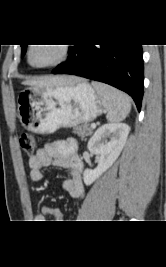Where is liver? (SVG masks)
<instances>
[{
	"label": "liver",
	"instance_id": "1",
	"mask_svg": "<svg viewBox=\"0 0 166 267\" xmlns=\"http://www.w3.org/2000/svg\"><path fill=\"white\" fill-rule=\"evenodd\" d=\"M78 81L81 80L71 76H54V77H45L39 80H27L24 81L23 84L29 86H38V87H53V86L73 85Z\"/></svg>",
	"mask_w": 166,
	"mask_h": 267
}]
</instances>
